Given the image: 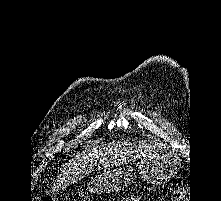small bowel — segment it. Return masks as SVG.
<instances>
[{"mask_svg": "<svg viewBox=\"0 0 221 201\" xmlns=\"http://www.w3.org/2000/svg\"><path fill=\"white\" fill-rule=\"evenodd\" d=\"M127 201H142V199L139 196H131Z\"/></svg>", "mask_w": 221, "mask_h": 201, "instance_id": "obj_1", "label": "small bowel"}]
</instances>
